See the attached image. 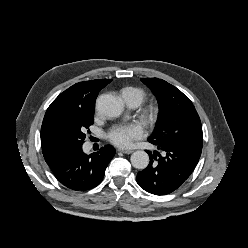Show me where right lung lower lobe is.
<instances>
[{
	"mask_svg": "<svg viewBox=\"0 0 248 248\" xmlns=\"http://www.w3.org/2000/svg\"><path fill=\"white\" fill-rule=\"evenodd\" d=\"M114 155L115 149L112 146H104L98 152L87 155L82 145H77L66 149L48 165L64 186L85 191L103 180L106 167Z\"/></svg>",
	"mask_w": 248,
	"mask_h": 248,
	"instance_id": "right-lung-lower-lobe-1",
	"label": "right lung lower lobe"
}]
</instances>
